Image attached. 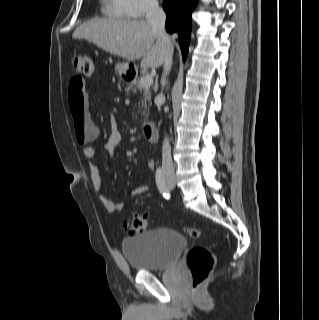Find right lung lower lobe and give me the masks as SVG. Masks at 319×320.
Listing matches in <instances>:
<instances>
[{
    "instance_id": "98d812e1",
    "label": "right lung lower lobe",
    "mask_w": 319,
    "mask_h": 320,
    "mask_svg": "<svg viewBox=\"0 0 319 320\" xmlns=\"http://www.w3.org/2000/svg\"><path fill=\"white\" fill-rule=\"evenodd\" d=\"M198 0H164L163 9L167 14L166 29L169 33L178 32V41L185 61L190 41L191 14Z\"/></svg>"
}]
</instances>
